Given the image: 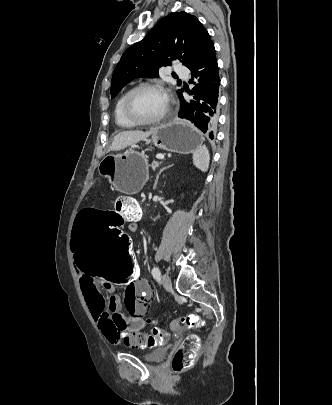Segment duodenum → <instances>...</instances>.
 Masks as SVG:
<instances>
[{
	"label": "duodenum",
	"instance_id": "410a0bca",
	"mask_svg": "<svg viewBox=\"0 0 332 405\" xmlns=\"http://www.w3.org/2000/svg\"><path fill=\"white\" fill-rule=\"evenodd\" d=\"M141 217H142V215H141L140 212H138V213H133V214L131 215V219H132L133 221H135V222L139 221V220L141 219Z\"/></svg>",
	"mask_w": 332,
	"mask_h": 405
}]
</instances>
